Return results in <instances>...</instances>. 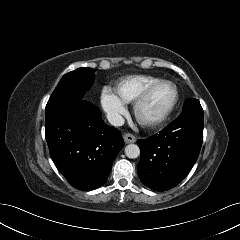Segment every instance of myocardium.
Instances as JSON below:
<instances>
[{"mask_svg":"<svg viewBox=\"0 0 240 240\" xmlns=\"http://www.w3.org/2000/svg\"><path fill=\"white\" fill-rule=\"evenodd\" d=\"M165 85H169L172 86L175 90V97L174 100L172 102V104L170 105V107L160 116L155 117V118H146L144 116H142L140 109L142 107V105L150 98V96L160 87L165 86ZM180 99V92L179 89L177 87V85L175 83H173L172 81H168V80H162L160 82H157L153 85H151L150 87H148L135 101L133 104V113L135 118L137 119V121L147 127H156L159 126L160 124L164 123L170 116L171 114L174 112L175 108L178 105Z\"/></svg>","mask_w":240,"mask_h":240,"instance_id":"obj_1","label":"myocardium"}]
</instances>
